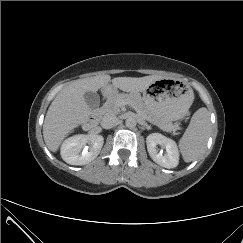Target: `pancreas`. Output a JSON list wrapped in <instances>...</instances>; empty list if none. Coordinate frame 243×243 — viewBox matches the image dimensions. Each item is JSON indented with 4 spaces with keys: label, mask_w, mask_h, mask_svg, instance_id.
<instances>
[{
    "label": "pancreas",
    "mask_w": 243,
    "mask_h": 243,
    "mask_svg": "<svg viewBox=\"0 0 243 243\" xmlns=\"http://www.w3.org/2000/svg\"><path fill=\"white\" fill-rule=\"evenodd\" d=\"M127 102L131 103L135 106L137 112L144 117L146 120L149 122L157 125L163 130L169 131L172 128H174L173 124L170 122H165L162 121L161 119L157 118L155 115L150 113L142 103V101L134 97L132 95H123V94H118L114 95L111 98H109L101 108H99V112L103 115L106 114H119L120 113V107L122 102Z\"/></svg>",
    "instance_id": "cf45deb5"
}]
</instances>
